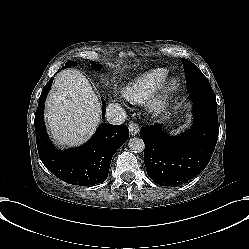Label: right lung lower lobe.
<instances>
[{"mask_svg":"<svg viewBox=\"0 0 249 249\" xmlns=\"http://www.w3.org/2000/svg\"><path fill=\"white\" fill-rule=\"evenodd\" d=\"M52 81L53 78L43 88L35 114L39 157L47 169L67 183L82 186L103 183L113 155L129 138V129L125 125L102 123L84 145L63 152L56 150L46 133L43 119L44 102ZM102 101L104 117L106 102Z\"/></svg>","mask_w":249,"mask_h":249,"instance_id":"1","label":"right lung lower lobe"}]
</instances>
